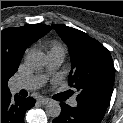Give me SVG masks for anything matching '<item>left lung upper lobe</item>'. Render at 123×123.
<instances>
[{
    "mask_svg": "<svg viewBox=\"0 0 123 123\" xmlns=\"http://www.w3.org/2000/svg\"><path fill=\"white\" fill-rule=\"evenodd\" d=\"M54 29L67 44L72 57L71 87L80 93L78 105L105 114L109 105L115 69L110 52L86 33L61 24Z\"/></svg>",
    "mask_w": 123,
    "mask_h": 123,
    "instance_id": "left-lung-upper-lobe-1",
    "label": "left lung upper lobe"
}]
</instances>
